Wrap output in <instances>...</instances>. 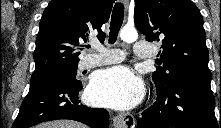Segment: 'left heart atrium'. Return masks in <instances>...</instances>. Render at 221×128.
I'll return each instance as SVG.
<instances>
[{"instance_id": "39dd6f15", "label": "left heart atrium", "mask_w": 221, "mask_h": 128, "mask_svg": "<svg viewBox=\"0 0 221 128\" xmlns=\"http://www.w3.org/2000/svg\"><path fill=\"white\" fill-rule=\"evenodd\" d=\"M87 96L100 106L130 109L140 102L143 85L131 70L116 66L99 71L94 76Z\"/></svg>"}]
</instances>
